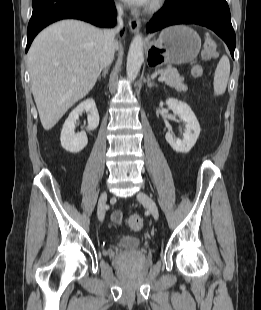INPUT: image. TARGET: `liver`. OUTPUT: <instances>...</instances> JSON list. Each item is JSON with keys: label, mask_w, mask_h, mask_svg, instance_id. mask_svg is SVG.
I'll list each match as a JSON object with an SVG mask.
<instances>
[{"label": "liver", "mask_w": 261, "mask_h": 310, "mask_svg": "<svg viewBox=\"0 0 261 310\" xmlns=\"http://www.w3.org/2000/svg\"><path fill=\"white\" fill-rule=\"evenodd\" d=\"M103 40V30L72 19L50 25L34 39L28 51V69L45 130L53 128L94 87Z\"/></svg>", "instance_id": "liver-1"}]
</instances>
